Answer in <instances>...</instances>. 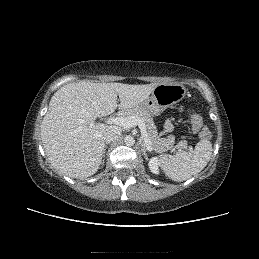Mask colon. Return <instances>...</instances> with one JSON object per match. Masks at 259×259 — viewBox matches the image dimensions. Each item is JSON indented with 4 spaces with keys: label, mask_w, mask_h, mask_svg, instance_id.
<instances>
[{
    "label": "colon",
    "mask_w": 259,
    "mask_h": 259,
    "mask_svg": "<svg viewBox=\"0 0 259 259\" xmlns=\"http://www.w3.org/2000/svg\"><path fill=\"white\" fill-rule=\"evenodd\" d=\"M190 121L193 129L200 134L202 138H209L210 132L207 127L204 125L200 115L193 113L190 115Z\"/></svg>",
    "instance_id": "colon-1"
}]
</instances>
